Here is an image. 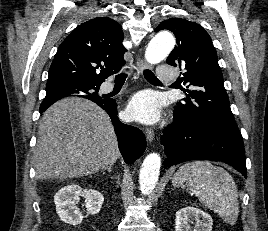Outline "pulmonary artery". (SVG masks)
Listing matches in <instances>:
<instances>
[{
	"mask_svg": "<svg viewBox=\"0 0 268 231\" xmlns=\"http://www.w3.org/2000/svg\"><path fill=\"white\" fill-rule=\"evenodd\" d=\"M155 76L157 77L158 80L164 82H170L175 77L173 67L170 65H160L158 67V71ZM110 89H111L110 85L104 87V91H109Z\"/></svg>",
	"mask_w": 268,
	"mask_h": 231,
	"instance_id": "obj_1",
	"label": "pulmonary artery"
}]
</instances>
